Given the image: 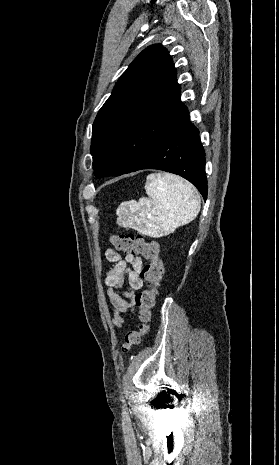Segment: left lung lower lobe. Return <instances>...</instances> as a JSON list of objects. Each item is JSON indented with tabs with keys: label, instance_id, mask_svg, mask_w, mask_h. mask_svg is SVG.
<instances>
[{
	"label": "left lung lower lobe",
	"instance_id": "1",
	"mask_svg": "<svg viewBox=\"0 0 279 465\" xmlns=\"http://www.w3.org/2000/svg\"><path fill=\"white\" fill-rule=\"evenodd\" d=\"M188 110L171 131L131 170L158 169L182 176L207 198L205 152Z\"/></svg>",
	"mask_w": 279,
	"mask_h": 465
}]
</instances>
